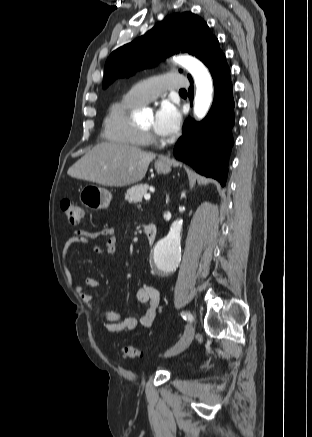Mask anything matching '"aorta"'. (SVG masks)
Listing matches in <instances>:
<instances>
[{"label":"aorta","instance_id":"obj_1","mask_svg":"<svg viewBox=\"0 0 312 437\" xmlns=\"http://www.w3.org/2000/svg\"><path fill=\"white\" fill-rule=\"evenodd\" d=\"M173 61L186 68L193 76L196 84L194 114L198 119L204 118L211 105L213 93L212 79L207 68L190 56L174 57ZM182 226V219L174 221L168 235L155 246L154 262L156 269L161 273L170 272L179 264Z\"/></svg>","mask_w":312,"mask_h":437}]
</instances>
